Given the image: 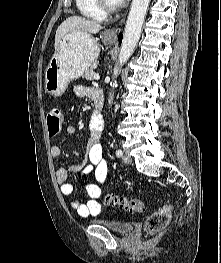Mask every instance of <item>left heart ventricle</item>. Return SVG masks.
<instances>
[{
  "mask_svg": "<svg viewBox=\"0 0 221 263\" xmlns=\"http://www.w3.org/2000/svg\"><path fill=\"white\" fill-rule=\"evenodd\" d=\"M110 3L114 4L113 0H108Z\"/></svg>",
  "mask_w": 221,
  "mask_h": 263,
  "instance_id": "1",
  "label": "left heart ventricle"
}]
</instances>
